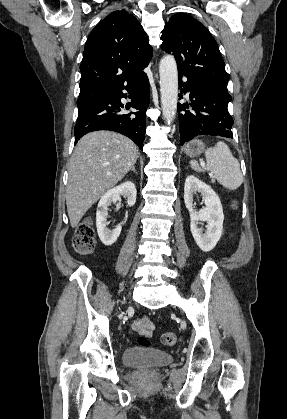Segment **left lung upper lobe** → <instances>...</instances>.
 I'll list each match as a JSON object with an SVG mask.
<instances>
[{
    "label": "left lung upper lobe",
    "instance_id": "obj_1",
    "mask_svg": "<svg viewBox=\"0 0 287 419\" xmlns=\"http://www.w3.org/2000/svg\"><path fill=\"white\" fill-rule=\"evenodd\" d=\"M161 39L162 50L175 56L179 76L227 89L230 76L218 45L199 21L185 13L175 14L165 25Z\"/></svg>",
    "mask_w": 287,
    "mask_h": 419
}]
</instances>
